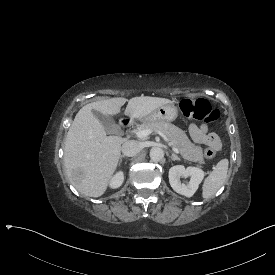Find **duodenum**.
Segmentation results:
<instances>
[{"label": "duodenum", "instance_id": "obj_1", "mask_svg": "<svg viewBox=\"0 0 275 275\" xmlns=\"http://www.w3.org/2000/svg\"><path fill=\"white\" fill-rule=\"evenodd\" d=\"M129 122H130V120L128 118H123V119H121L120 124H121V126L126 127V126H128Z\"/></svg>", "mask_w": 275, "mask_h": 275}]
</instances>
